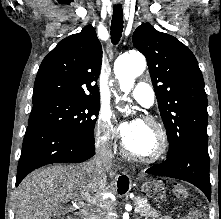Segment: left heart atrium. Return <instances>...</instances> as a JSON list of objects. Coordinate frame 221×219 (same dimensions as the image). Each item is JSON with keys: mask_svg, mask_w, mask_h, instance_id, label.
Returning a JSON list of instances; mask_svg holds the SVG:
<instances>
[{"mask_svg": "<svg viewBox=\"0 0 221 219\" xmlns=\"http://www.w3.org/2000/svg\"><path fill=\"white\" fill-rule=\"evenodd\" d=\"M137 122V120H127L118 124L117 133L124 141L132 135L137 127Z\"/></svg>", "mask_w": 221, "mask_h": 219, "instance_id": "obj_1", "label": "left heart atrium"}]
</instances>
